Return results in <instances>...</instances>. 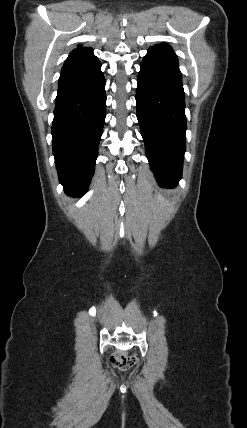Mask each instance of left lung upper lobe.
I'll use <instances>...</instances> for the list:
<instances>
[{
	"instance_id": "obj_1",
	"label": "left lung upper lobe",
	"mask_w": 247,
	"mask_h": 428,
	"mask_svg": "<svg viewBox=\"0 0 247 428\" xmlns=\"http://www.w3.org/2000/svg\"><path fill=\"white\" fill-rule=\"evenodd\" d=\"M154 47L162 49V50H168V51H172L173 52V49L169 45H167L165 43L161 44V45H155Z\"/></svg>"
}]
</instances>
